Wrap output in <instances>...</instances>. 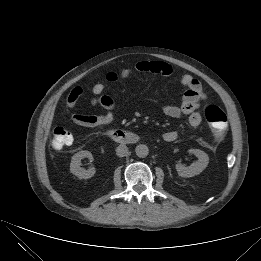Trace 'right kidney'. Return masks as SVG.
<instances>
[{
	"label": "right kidney",
	"mask_w": 261,
	"mask_h": 261,
	"mask_svg": "<svg viewBox=\"0 0 261 261\" xmlns=\"http://www.w3.org/2000/svg\"><path fill=\"white\" fill-rule=\"evenodd\" d=\"M84 158H89L92 159V154L91 152L84 150V151H79L75 153L72 156L71 163H70V171L72 174L77 176L79 179H88L94 176L95 174V168H89L88 170L80 167L81 165V160Z\"/></svg>",
	"instance_id": "right-kidney-1"
}]
</instances>
